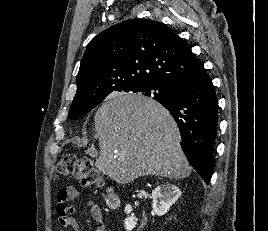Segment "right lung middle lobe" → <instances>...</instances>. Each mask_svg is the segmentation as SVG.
<instances>
[{
	"instance_id": "obj_1",
	"label": "right lung middle lobe",
	"mask_w": 268,
	"mask_h": 231,
	"mask_svg": "<svg viewBox=\"0 0 268 231\" xmlns=\"http://www.w3.org/2000/svg\"><path fill=\"white\" fill-rule=\"evenodd\" d=\"M125 92L142 93L145 96L153 97V99L165 98L168 95V88L155 83L129 87L124 89ZM103 100L97 101L89 105H80L72 103L68 118L70 120L81 117L89 113L94 107L99 105Z\"/></svg>"
}]
</instances>
